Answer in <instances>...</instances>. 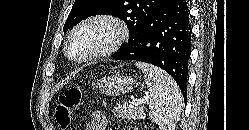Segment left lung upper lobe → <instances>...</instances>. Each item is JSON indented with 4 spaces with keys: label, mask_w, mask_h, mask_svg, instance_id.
Returning a JSON list of instances; mask_svg holds the SVG:
<instances>
[{
    "label": "left lung upper lobe",
    "mask_w": 249,
    "mask_h": 130,
    "mask_svg": "<svg viewBox=\"0 0 249 130\" xmlns=\"http://www.w3.org/2000/svg\"><path fill=\"white\" fill-rule=\"evenodd\" d=\"M168 2L169 0H76L63 31L66 32L90 16L112 15L127 24L129 41L126 45H128L138 35L144 23ZM126 45L121 46L119 50Z\"/></svg>",
    "instance_id": "1"
}]
</instances>
